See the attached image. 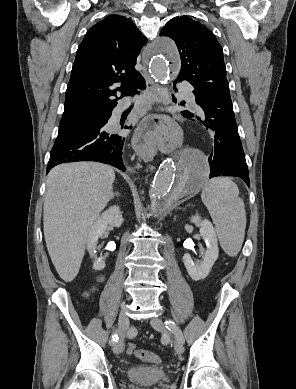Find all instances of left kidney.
I'll use <instances>...</instances> for the list:
<instances>
[{"label": "left kidney", "mask_w": 296, "mask_h": 389, "mask_svg": "<svg viewBox=\"0 0 296 389\" xmlns=\"http://www.w3.org/2000/svg\"><path fill=\"white\" fill-rule=\"evenodd\" d=\"M190 221L200 226V236L204 239L207 250L200 264L194 263L189 254H184L183 263L192 280L199 281L209 275L218 258L219 249L213 225L209 220H201L199 215H195L191 217Z\"/></svg>", "instance_id": "obj_1"}]
</instances>
